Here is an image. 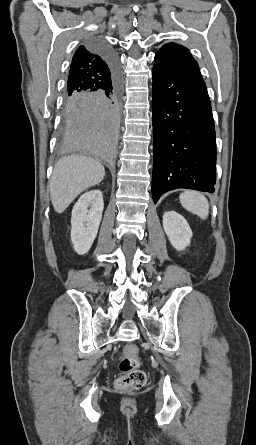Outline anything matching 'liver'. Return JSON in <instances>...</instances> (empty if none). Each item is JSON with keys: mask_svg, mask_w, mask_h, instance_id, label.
Returning <instances> with one entry per match:
<instances>
[{"mask_svg": "<svg viewBox=\"0 0 256 445\" xmlns=\"http://www.w3.org/2000/svg\"><path fill=\"white\" fill-rule=\"evenodd\" d=\"M105 168L90 157H63L54 167L49 183L54 210L62 213L84 190L100 183Z\"/></svg>", "mask_w": 256, "mask_h": 445, "instance_id": "6515ba94", "label": "liver"}]
</instances>
